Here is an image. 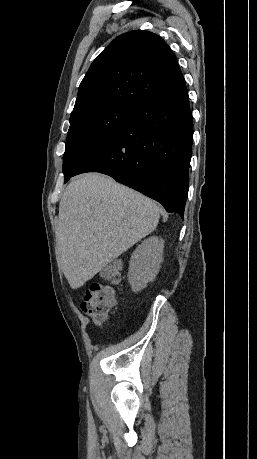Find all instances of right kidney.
Instances as JSON below:
<instances>
[{"mask_svg":"<svg viewBox=\"0 0 257 459\" xmlns=\"http://www.w3.org/2000/svg\"><path fill=\"white\" fill-rule=\"evenodd\" d=\"M163 248L164 241L152 236L144 240L131 255L128 282L134 292L145 288L158 274Z\"/></svg>","mask_w":257,"mask_h":459,"instance_id":"right-kidney-1","label":"right kidney"}]
</instances>
